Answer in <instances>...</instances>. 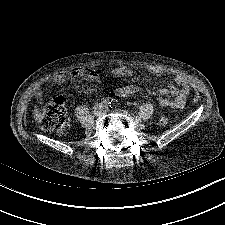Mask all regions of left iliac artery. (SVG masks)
Returning a JSON list of instances; mask_svg holds the SVG:
<instances>
[{
	"label": "left iliac artery",
	"instance_id": "44dca946",
	"mask_svg": "<svg viewBox=\"0 0 225 225\" xmlns=\"http://www.w3.org/2000/svg\"><path fill=\"white\" fill-rule=\"evenodd\" d=\"M111 105H112L113 107H116V106L118 105V100H117V99H113Z\"/></svg>",
	"mask_w": 225,
	"mask_h": 225
}]
</instances>
